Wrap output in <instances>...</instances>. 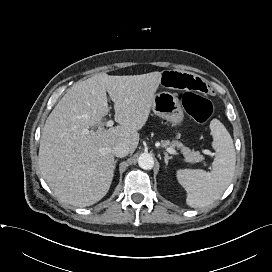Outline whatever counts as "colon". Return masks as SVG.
Returning <instances> with one entry per match:
<instances>
[{
	"instance_id": "colon-1",
	"label": "colon",
	"mask_w": 272,
	"mask_h": 272,
	"mask_svg": "<svg viewBox=\"0 0 272 272\" xmlns=\"http://www.w3.org/2000/svg\"><path fill=\"white\" fill-rule=\"evenodd\" d=\"M180 99L187 114L198 123H204L210 118L213 103L207 97L193 92H184L180 94Z\"/></svg>"
}]
</instances>
